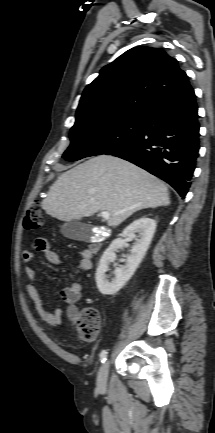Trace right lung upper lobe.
Wrapping results in <instances>:
<instances>
[{"mask_svg":"<svg viewBox=\"0 0 215 433\" xmlns=\"http://www.w3.org/2000/svg\"><path fill=\"white\" fill-rule=\"evenodd\" d=\"M187 85L188 76L164 50L132 48L103 67L100 75L85 88L75 123L143 115Z\"/></svg>","mask_w":215,"mask_h":433,"instance_id":"1","label":"right lung upper lobe"}]
</instances>
